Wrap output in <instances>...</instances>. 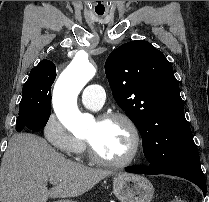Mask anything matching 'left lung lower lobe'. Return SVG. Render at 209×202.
Listing matches in <instances>:
<instances>
[{"label": "left lung lower lobe", "mask_w": 209, "mask_h": 202, "mask_svg": "<svg viewBox=\"0 0 209 202\" xmlns=\"http://www.w3.org/2000/svg\"><path fill=\"white\" fill-rule=\"evenodd\" d=\"M126 171L137 174H166L182 177L199 186L202 189L204 196L206 195V181L201 169L200 158L196 147L189 149L169 167L154 168L150 165H142L128 167L126 168Z\"/></svg>", "instance_id": "1"}]
</instances>
